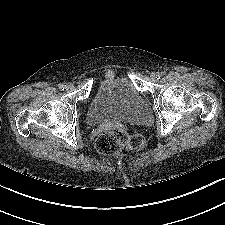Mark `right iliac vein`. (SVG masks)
<instances>
[{
    "label": "right iliac vein",
    "instance_id": "63e3f726",
    "mask_svg": "<svg viewBox=\"0 0 225 225\" xmlns=\"http://www.w3.org/2000/svg\"><path fill=\"white\" fill-rule=\"evenodd\" d=\"M74 89V85L72 84V83H68L67 85H66V90L67 91H72Z\"/></svg>",
    "mask_w": 225,
    "mask_h": 225
}]
</instances>
